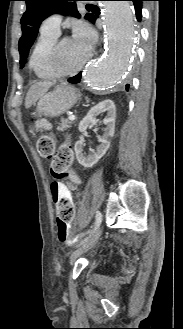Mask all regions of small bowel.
Instances as JSON below:
<instances>
[{"label": "small bowel", "instance_id": "c3829d8e", "mask_svg": "<svg viewBox=\"0 0 183 329\" xmlns=\"http://www.w3.org/2000/svg\"><path fill=\"white\" fill-rule=\"evenodd\" d=\"M51 199H54V218H75L76 203L74 199V186L63 184V182H48ZM78 238H69L65 241L72 245Z\"/></svg>", "mask_w": 183, "mask_h": 329}]
</instances>
